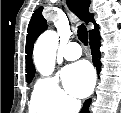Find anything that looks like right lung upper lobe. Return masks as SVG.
<instances>
[{
    "label": "right lung upper lobe",
    "mask_w": 121,
    "mask_h": 113,
    "mask_svg": "<svg viewBox=\"0 0 121 113\" xmlns=\"http://www.w3.org/2000/svg\"><path fill=\"white\" fill-rule=\"evenodd\" d=\"M67 3L84 22L88 23L90 21L94 24L95 27L93 30L89 31V36L98 31L99 27L93 19V14L89 13L90 0H68ZM42 10L43 8L40 7L33 13L27 30L28 34L25 49L27 54V78L34 77L35 75V67L31 58L34 42L36 41L37 37L47 28V22L41 14Z\"/></svg>",
    "instance_id": "obj_1"
}]
</instances>
